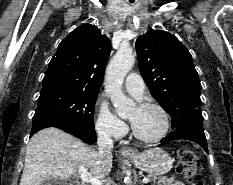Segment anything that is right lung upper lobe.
Instances as JSON below:
<instances>
[{
	"mask_svg": "<svg viewBox=\"0 0 233 185\" xmlns=\"http://www.w3.org/2000/svg\"><path fill=\"white\" fill-rule=\"evenodd\" d=\"M111 51L106 35L91 24H82L61 41L43 78L42 90L100 91Z\"/></svg>",
	"mask_w": 233,
	"mask_h": 185,
	"instance_id": "obj_1",
	"label": "right lung upper lobe"
}]
</instances>
